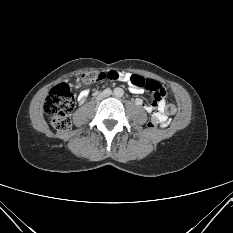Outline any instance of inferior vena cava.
I'll use <instances>...</instances> for the list:
<instances>
[{"mask_svg": "<svg viewBox=\"0 0 233 233\" xmlns=\"http://www.w3.org/2000/svg\"><path fill=\"white\" fill-rule=\"evenodd\" d=\"M112 94V89L111 88H106L105 91H103L101 94H99V97L105 98L109 95Z\"/></svg>", "mask_w": 233, "mask_h": 233, "instance_id": "602c4592", "label": "inferior vena cava"}]
</instances>
